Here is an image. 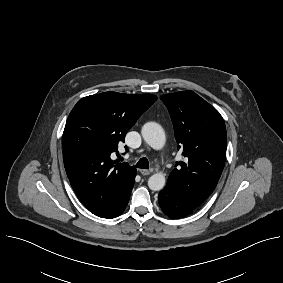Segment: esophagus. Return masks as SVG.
Wrapping results in <instances>:
<instances>
[{"mask_svg":"<svg viewBox=\"0 0 283 283\" xmlns=\"http://www.w3.org/2000/svg\"><path fill=\"white\" fill-rule=\"evenodd\" d=\"M140 173L143 175V176H147L151 173L150 170H147V169H140Z\"/></svg>","mask_w":283,"mask_h":283,"instance_id":"esophagus-1","label":"esophagus"}]
</instances>
